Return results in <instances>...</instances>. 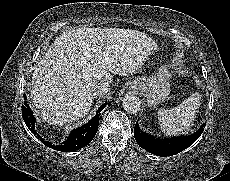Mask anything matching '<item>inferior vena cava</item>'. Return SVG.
Here are the masks:
<instances>
[{"instance_id":"1","label":"inferior vena cava","mask_w":230,"mask_h":181,"mask_svg":"<svg viewBox=\"0 0 230 181\" xmlns=\"http://www.w3.org/2000/svg\"><path fill=\"white\" fill-rule=\"evenodd\" d=\"M110 90L109 84H96L91 88V94L93 98L103 96Z\"/></svg>"}]
</instances>
